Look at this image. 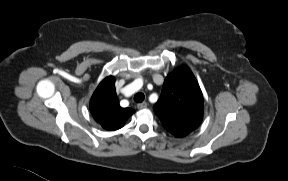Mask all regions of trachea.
I'll use <instances>...</instances> for the list:
<instances>
[{"label":"trachea","mask_w":288,"mask_h":181,"mask_svg":"<svg viewBox=\"0 0 288 181\" xmlns=\"http://www.w3.org/2000/svg\"><path fill=\"white\" fill-rule=\"evenodd\" d=\"M145 99V95L143 93H137L135 96H134V101L137 102V103H141L143 102Z\"/></svg>","instance_id":"1"}]
</instances>
